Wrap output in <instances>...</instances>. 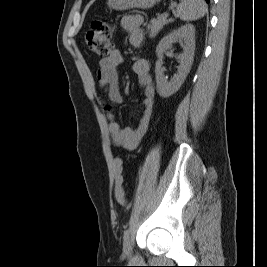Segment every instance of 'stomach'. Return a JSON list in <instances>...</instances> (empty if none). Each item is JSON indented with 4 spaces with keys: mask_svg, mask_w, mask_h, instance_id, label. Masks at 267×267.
Returning a JSON list of instances; mask_svg holds the SVG:
<instances>
[{
    "mask_svg": "<svg viewBox=\"0 0 267 267\" xmlns=\"http://www.w3.org/2000/svg\"><path fill=\"white\" fill-rule=\"evenodd\" d=\"M161 0H108L107 5L114 10H128L133 8L149 9Z\"/></svg>",
    "mask_w": 267,
    "mask_h": 267,
    "instance_id": "obj_1",
    "label": "stomach"
}]
</instances>
